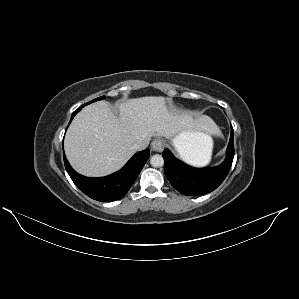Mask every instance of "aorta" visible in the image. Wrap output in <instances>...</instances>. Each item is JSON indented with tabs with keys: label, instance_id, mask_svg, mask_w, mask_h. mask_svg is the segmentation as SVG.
I'll use <instances>...</instances> for the list:
<instances>
[{
	"label": "aorta",
	"instance_id": "762f6f07",
	"mask_svg": "<svg viewBox=\"0 0 299 299\" xmlns=\"http://www.w3.org/2000/svg\"><path fill=\"white\" fill-rule=\"evenodd\" d=\"M150 164L153 166V167H161L164 165V159L161 155L159 154H156V155H153L150 159Z\"/></svg>",
	"mask_w": 299,
	"mask_h": 299
}]
</instances>
